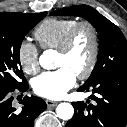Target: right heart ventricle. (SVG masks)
Here are the masks:
<instances>
[{
	"label": "right heart ventricle",
	"instance_id": "1",
	"mask_svg": "<svg viewBox=\"0 0 127 127\" xmlns=\"http://www.w3.org/2000/svg\"><path fill=\"white\" fill-rule=\"evenodd\" d=\"M79 21L73 18H48L42 21L34 31L42 49H57L68 32Z\"/></svg>",
	"mask_w": 127,
	"mask_h": 127
}]
</instances>
